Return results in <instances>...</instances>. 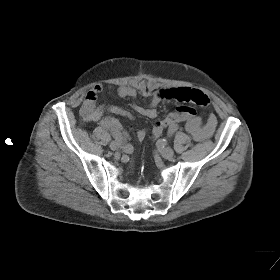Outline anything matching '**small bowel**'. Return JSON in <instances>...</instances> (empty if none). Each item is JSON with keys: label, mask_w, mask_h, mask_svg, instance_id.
<instances>
[{"label": "small bowel", "mask_w": 280, "mask_h": 280, "mask_svg": "<svg viewBox=\"0 0 280 280\" xmlns=\"http://www.w3.org/2000/svg\"><path fill=\"white\" fill-rule=\"evenodd\" d=\"M102 91L103 86L96 85L87 93L80 109V115L85 122L98 121L102 119L107 112L128 118L133 117V115L124 108L108 104H99L98 98ZM116 91L121 98L134 99L137 96L136 89L131 86L122 85L117 87ZM166 100L193 103L199 106H207L209 103L208 97L202 91L187 87H178L156 90L151 94V101L148 106L143 107L133 104V109L144 117L154 119L157 116V105ZM108 120L121 132L119 122L115 118H108ZM216 126L217 118L214 114L209 115L206 121H203L202 117L199 115H194L185 121L186 131L194 140L200 142L210 138ZM146 133V129H140L137 132V138L143 140ZM122 135L124 136V133H122Z\"/></svg>", "instance_id": "c3829d8e"}]
</instances>
